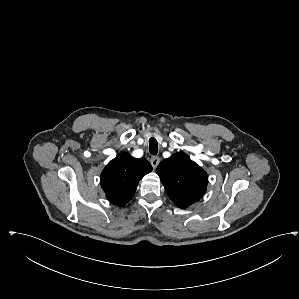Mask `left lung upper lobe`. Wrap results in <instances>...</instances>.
<instances>
[{
  "label": "left lung upper lobe",
  "instance_id": "left-lung-upper-lobe-1",
  "mask_svg": "<svg viewBox=\"0 0 299 299\" xmlns=\"http://www.w3.org/2000/svg\"><path fill=\"white\" fill-rule=\"evenodd\" d=\"M156 172L169 198L180 208L196 202L206 191L207 173L185 154L164 159Z\"/></svg>",
  "mask_w": 299,
  "mask_h": 299
}]
</instances>
